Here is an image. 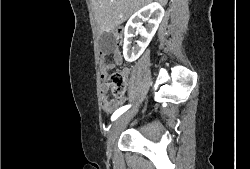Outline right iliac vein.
Segmentation results:
<instances>
[{
    "mask_svg": "<svg viewBox=\"0 0 250 169\" xmlns=\"http://www.w3.org/2000/svg\"><path fill=\"white\" fill-rule=\"evenodd\" d=\"M131 114L132 113H126L120 116L118 119H116V121L113 123L108 134V142H107V147L110 151L118 137V133L121 127L124 125V122L126 121V119L131 116Z\"/></svg>",
    "mask_w": 250,
    "mask_h": 169,
    "instance_id": "obj_1",
    "label": "right iliac vein"
}]
</instances>
